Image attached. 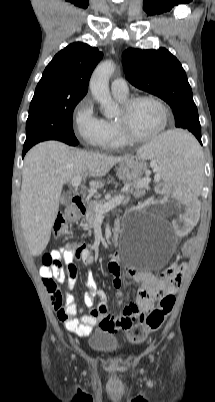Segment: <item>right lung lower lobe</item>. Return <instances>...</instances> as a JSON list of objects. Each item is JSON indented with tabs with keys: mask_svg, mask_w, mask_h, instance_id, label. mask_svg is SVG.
<instances>
[{
	"mask_svg": "<svg viewBox=\"0 0 215 402\" xmlns=\"http://www.w3.org/2000/svg\"><path fill=\"white\" fill-rule=\"evenodd\" d=\"M29 148H31V147H29V146H24V148H23V157H24V155H25V153L29 150Z\"/></svg>",
	"mask_w": 215,
	"mask_h": 402,
	"instance_id": "98d812e1",
	"label": "right lung lower lobe"
}]
</instances>
